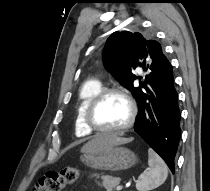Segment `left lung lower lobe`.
Returning <instances> with one entry per match:
<instances>
[{
	"label": "left lung lower lobe",
	"instance_id": "obj_1",
	"mask_svg": "<svg viewBox=\"0 0 210 191\" xmlns=\"http://www.w3.org/2000/svg\"><path fill=\"white\" fill-rule=\"evenodd\" d=\"M148 85L137 99L138 115L134 130L174 173V160L181 135L180 111L172 66L167 58L150 75Z\"/></svg>",
	"mask_w": 210,
	"mask_h": 191
}]
</instances>
